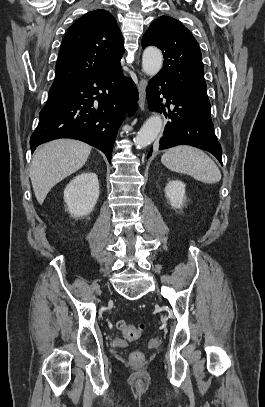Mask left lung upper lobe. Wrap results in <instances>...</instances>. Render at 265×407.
I'll use <instances>...</instances> for the list:
<instances>
[{
	"label": "left lung upper lobe",
	"mask_w": 265,
	"mask_h": 407,
	"mask_svg": "<svg viewBox=\"0 0 265 407\" xmlns=\"http://www.w3.org/2000/svg\"><path fill=\"white\" fill-rule=\"evenodd\" d=\"M149 45L163 53L164 63L159 74L184 95L210 109L201 51L190 31L178 20L161 16L142 38V47Z\"/></svg>",
	"instance_id": "1"
}]
</instances>
